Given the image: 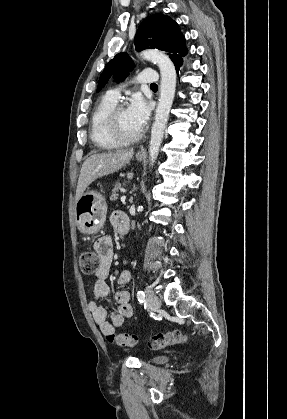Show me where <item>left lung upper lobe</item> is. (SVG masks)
I'll return each mask as SVG.
<instances>
[{
	"mask_svg": "<svg viewBox=\"0 0 287 419\" xmlns=\"http://www.w3.org/2000/svg\"><path fill=\"white\" fill-rule=\"evenodd\" d=\"M136 50L157 48L168 53L175 68L178 69L183 63L182 57L188 52L185 45V37L182 35L178 24L163 14H154L146 18L139 26L135 35ZM133 67V62L127 54H117L102 72L97 92H99L108 80L114 76L116 81L124 80Z\"/></svg>",
	"mask_w": 287,
	"mask_h": 419,
	"instance_id": "obj_1",
	"label": "left lung upper lobe"
}]
</instances>
